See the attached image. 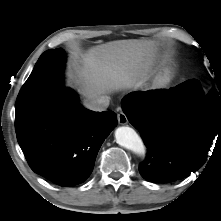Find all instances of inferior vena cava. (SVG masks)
<instances>
[{
    "label": "inferior vena cava",
    "instance_id": "602c4592",
    "mask_svg": "<svg viewBox=\"0 0 221 221\" xmlns=\"http://www.w3.org/2000/svg\"><path fill=\"white\" fill-rule=\"evenodd\" d=\"M109 97L100 96L92 100H86L84 105L92 111H104L109 106Z\"/></svg>",
    "mask_w": 221,
    "mask_h": 221
}]
</instances>
